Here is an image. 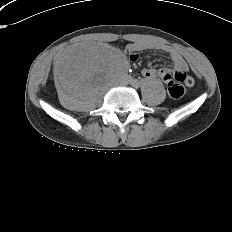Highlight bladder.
Wrapping results in <instances>:
<instances>
[{
	"label": "bladder",
	"instance_id": "1",
	"mask_svg": "<svg viewBox=\"0 0 232 232\" xmlns=\"http://www.w3.org/2000/svg\"><path fill=\"white\" fill-rule=\"evenodd\" d=\"M74 53H75V54H79V53H80V50H74Z\"/></svg>",
	"mask_w": 232,
	"mask_h": 232
}]
</instances>
